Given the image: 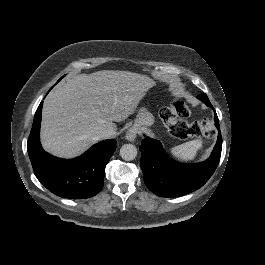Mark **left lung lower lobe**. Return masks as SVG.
Listing matches in <instances>:
<instances>
[{
	"label": "left lung lower lobe",
	"mask_w": 265,
	"mask_h": 265,
	"mask_svg": "<svg viewBox=\"0 0 265 265\" xmlns=\"http://www.w3.org/2000/svg\"><path fill=\"white\" fill-rule=\"evenodd\" d=\"M198 98L215 113V126L218 128V140L209 159L198 164H181L167 156L157 140H142L141 168L144 182L156 195L178 197L193 192L203 186L214 173L221 156L222 137L215 109L206 94Z\"/></svg>",
	"instance_id": "left-lung-lower-lobe-1"
}]
</instances>
